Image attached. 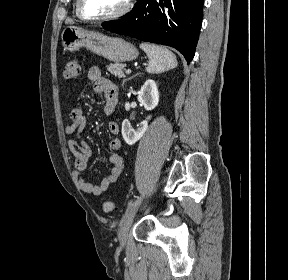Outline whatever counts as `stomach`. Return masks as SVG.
I'll use <instances>...</instances> for the list:
<instances>
[{
    "mask_svg": "<svg viewBox=\"0 0 288 280\" xmlns=\"http://www.w3.org/2000/svg\"><path fill=\"white\" fill-rule=\"evenodd\" d=\"M64 48L70 52L81 47L115 63L132 61L138 57L136 47L119 37H110L77 26H67L61 34Z\"/></svg>",
    "mask_w": 288,
    "mask_h": 280,
    "instance_id": "0dacf381",
    "label": "stomach"
}]
</instances>
